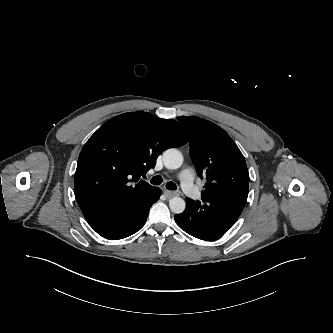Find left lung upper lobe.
I'll return each instance as SVG.
<instances>
[{
	"label": "left lung upper lobe",
	"instance_id": "left-lung-upper-lobe-1",
	"mask_svg": "<svg viewBox=\"0 0 333 333\" xmlns=\"http://www.w3.org/2000/svg\"><path fill=\"white\" fill-rule=\"evenodd\" d=\"M190 136V155L206 195L228 184L249 181L245 159L230 136L216 124L198 117L177 118Z\"/></svg>",
	"mask_w": 333,
	"mask_h": 333
}]
</instances>
